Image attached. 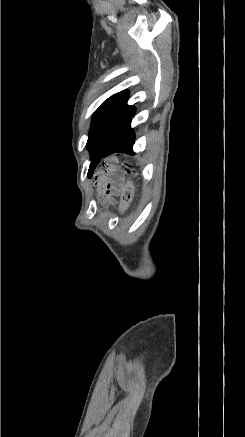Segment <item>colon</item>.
Masks as SVG:
<instances>
[{
	"mask_svg": "<svg viewBox=\"0 0 245 437\" xmlns=\"http://www.w3.org/2000/svg\"><path fill=\"white\" fill-rule=\"evenodd\" d=\"M133 194H134V186L131 181H128L125 184L121 193L122 203L124 207H126L129 204V202L133 197Z\"/></svg>",
	"mask_w": 245,
	"mask_h": 437,
	"instance_id": "obj_1",
	"label": "colon"
}]
</instances>
